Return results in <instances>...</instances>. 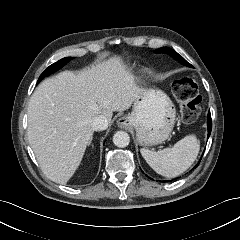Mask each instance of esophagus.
<instances>
[{
    "label": "esophagus",
    "mask_w": 240,
    "mask_h": 240,
    "mask_svg": "<svg viewBox=\"0 0 240 240\" xmlns=\"http://www.w3.org/2000/svg\"><path fill=\"white\" fill-rule=\"evenodd\" d=\"M117 124L120 128H126L131 124V120L126 116H122L117 120Z\"/></svg>",
    "instance_id": "obj_1"
}]
</instances>
